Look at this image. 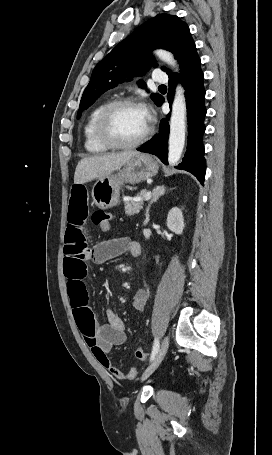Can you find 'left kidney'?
I'll return each mask as SVG.
<instances>
[{"label":"left kidney","mask_w":272,"mask_h":455,"mask_svg":"<svg viewBox=\"0 0 272 455\" xmlns=\"http://www.w3.org/2000/svg\"><path fill=\"white\" fill-rule=\"evenodd\" d=\"M167 227L176 234H181L183 232L184 219L182 211L179 208L174 207L169 211L167 216Z\"/></svg>","instance_id":"1"}]
</instances>
